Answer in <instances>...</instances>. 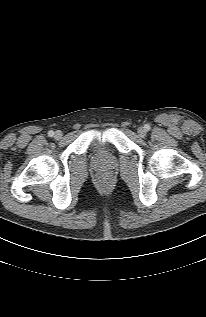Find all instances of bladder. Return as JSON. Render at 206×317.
<instances>
[{
    "mask_svg": "<svg viewBox=\"0 0 206 317\" xmlns=\"http://www.w3.org/2000/svg\"><path fill=\"white\" fill-rule=\"evenodd\" d=\"M101 147V144H99L98 142H96L95 144H94V148L95 149H98V148H100Z\"/></svg>",
    "mask_w": 206,
    "mask_h": 317,
    "instance_id": "31cf9c89",
    "label": "bladder"
}]
</instances>
